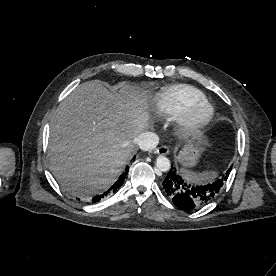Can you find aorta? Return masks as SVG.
Segmentation results:
<instances>
[{
  "label": "aorta",
  "mask_w": 276,
  "mask_h": 276,
  "mask_svg": "<svg viewBox=\"0 0 276 276\" xmlns=\"http://www.w3.org/2000/svg\"><path fill=\"white\" fill-rule=\"evenodd\" d=\"M156 167L162 172H167L171 167L170 160L165 156H159L156 159Z\"/></svg>",
  "instance_id": "762f6f07"
}]
</instances>
